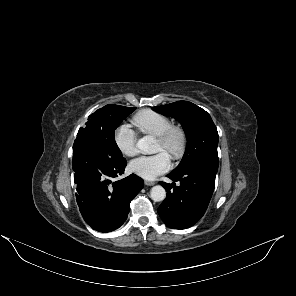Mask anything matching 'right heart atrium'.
Listing matches in <instances>:
<instances>
[{"label": "right heart atrium", "mask_w": 296, "mask_h": 296, "mask_svg": "<svg viewBox=\"0 0 296 296\" xmlns=\"http://www.w3.org/2000/svg\"><path fill=\"white\" fill-rule=\"evenodd\" d=\"M137 136L134 130L127 124H121L114 132V143L117 149L125 156L137 154Z\"/></svg>", "instance_id": "d8ad5b80"}]
</instances>
